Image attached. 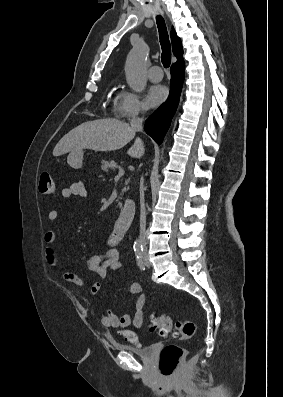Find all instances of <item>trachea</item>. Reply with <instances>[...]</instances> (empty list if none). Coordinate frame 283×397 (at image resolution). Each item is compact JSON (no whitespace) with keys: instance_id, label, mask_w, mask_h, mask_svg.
<instances>
[{"instance_id":"3493384b","label":"trachea","mask_w":283,"mask_h":397,"mask_svg":"<svg viewBox=\"0 0 283 397\" xmlns=\"http://www.w3.org/2000/svg\"><path fill=\"white\" fill-rule=\"evenodd\" d=\"M157 27L159 31L160 44L162 48L161 61L165 68L171 63V45L168 37L165 21L160 15L156 16Z\"/></svg>"}]
</instances>
